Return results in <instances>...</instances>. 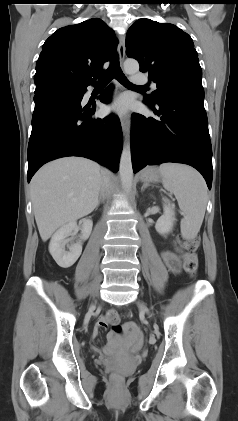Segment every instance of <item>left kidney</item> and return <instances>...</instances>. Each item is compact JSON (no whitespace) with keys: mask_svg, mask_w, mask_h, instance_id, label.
I'll list each match as a JSON object with an SVG mask.
<instances>
[{"mask_svg":"<svg viewBox=\"0 0 238 421\" xmlns=\"http://www.w3.org/2000/svg\"><path fill=\"white\" fill-rule=\"evenodd\" d=\"M163 215L157 220L155 228L156 231L161 235L170 233L175 223L174 209L167 204L163 206Z\"/></svg>","mask_w":238,"mask_h":421,"instance_id":"obj_1","label":"left kidney"}]
</instances>
